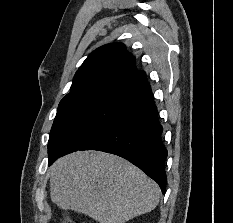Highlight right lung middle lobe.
Returning <instances> with one entry per match:
<instances>
[{"label": "right lung middle lobe", "mask_w": 233, "mask_h": 223, "mask_svg": "<svg viewBox=\"0 0 233 223\" xmlns=\"http://www.w3.org/2000/svg\"><path fill=\"white\" fill-rule=\"evenodd\" d=\"M122 94L94 91L65 96L50 132L49 153H71L82 147L122 111Z\"/></svg>", "instance_id": "1"}]
</instances>
